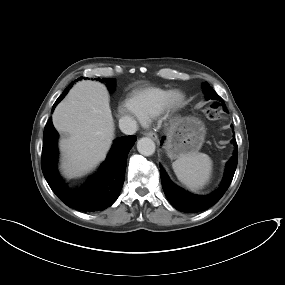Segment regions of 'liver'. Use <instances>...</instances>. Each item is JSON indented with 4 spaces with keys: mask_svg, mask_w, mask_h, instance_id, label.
<instances>
[{
    "mask_svg": "<svg viewBox=\"0 0 285 285\" xmlns=\"http://www.w3.org/2000/svg\"><path fill=\"white\" fill-rule=\"evenodd\" d=\"M54 127L67 138L60 140L61 168L67 177H78L96 167L112 144L114 121L106 87L80 81L56 107Z\"/></svg>",
    "mask_w": 285,
    "mask_h": 285,
    "instance_id": "liver-1",
    "label": "liver"
}]
</instances>
